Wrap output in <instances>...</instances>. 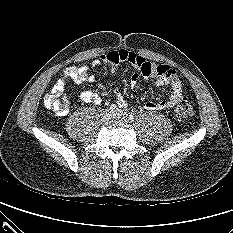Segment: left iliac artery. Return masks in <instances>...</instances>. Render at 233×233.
<instances>
[{"label": "left iliac artery", "instance_id": "obj_1", "mask_svg": "<svg viewBox=\"0 0 233 233\" xmlns=\"http://www.w3.org/2000/svg\"><path fill=\"white\" fill-rule=\"evenodd\" d=\"M127 117H128V119L132 120V119H134V114L133 113H128Z\"/></svg>", "mask_w": 233, "mask_h": 233}]
</instances>
